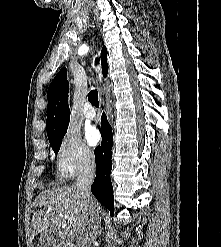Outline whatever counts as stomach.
Segmentation results:
<instances>
[{
    "label": "stomach",
    "mask_w": 221,
    "mask_h": 247,
    "mask_svg": "<svg viewBox=\"0 0 221 247\" xmlns=\"http://www.w3.org/2000/svg\"><path fill=\"white\" fill-rule=\"evenodd\" d=\"M51 239H52V233L51 232H43L40 235L39 241H40V244H48V243H50Z\"/></svg>",
    "instance_id": "0dacf381"
}]
</instances>
